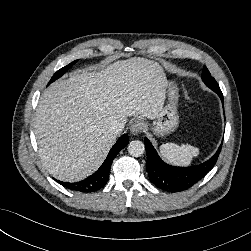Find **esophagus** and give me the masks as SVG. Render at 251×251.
I'll return each mask as SVG.
<instances>
[{"label":"esophagus","instance_id":"1","mask_svg":"<svg viewBox=\"0 0 251 251\" xmlns=\"http://www.w3.org/2000/svg\"><path fill=\"white\" fill-rule=\"evenodd\" d=\"M144 128L145 124L143 121L135 120L130 127V131L133 135H138L143 132Z\"/></svg>","mask_w":251,"mask_h":251}]
</instances>
